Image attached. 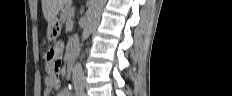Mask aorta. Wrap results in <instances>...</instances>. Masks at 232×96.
<instances>
[{
    "mask_svg": "<svg viewBox=\"0 0 232 96\" xmlns=\"http://www.w3.org/2000/svg\"><path fill=\"white\" fill-rule=\"evenodd\" d=\"M104 4L105 0H89L86 21L81 37L82 41H85L90 36L93 27L100 17ZM73 73L75 76H81L83 74V69L80 63H76L73 69Z\"/></svg>",
    "mask_w": 232,
    "mask_h": 96,
    "instance_id": "762f6f07",
    "label": "aorta"
}]
</instances>
